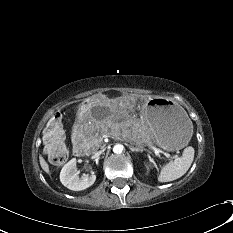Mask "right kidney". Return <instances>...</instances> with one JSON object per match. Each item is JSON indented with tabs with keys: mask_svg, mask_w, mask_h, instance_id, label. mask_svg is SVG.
<instances>
[{
	"mask_svg": "<svg viewBox=\"0 0 233 233\" xmlns=\"http://www.w3.org/2000/svg\"><path fill=\"white\" fill-rule=\"evenodd\" d=\"M76 163V158H73L63 166L60 172V181L70 190L81 191L94 184L96 175L92 173L90 176L80 178L76 170Z\"/></svg>",
	"mask_w": 233,
	"mask_h": 233,
	"instance_id": "obj_1",
	"label": "right kidney"
}]
</instances>
